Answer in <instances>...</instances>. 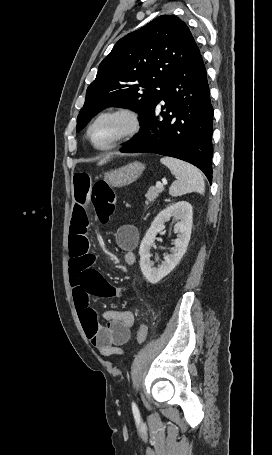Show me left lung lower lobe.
Listing matches in <instances>:
<instances>
[{
	"mask_svg": "<svg viewBox=\"0 0 272 455\" xmlns=\"http://www.w3.org/2000/svg\"><path fill=\"white\" fill-rule=\"evenodd\" d=\"M212 118L206 69L200 54L171 75L160 101L140 123V132L120 151L151 152L187 161L201 169L211 182Z\"/></svg>",
	"mask_w": 272,
	"mask_h": 455,
	"instance_id": "left-lung-lower-lobe-1",
	"label": "left lung lower lobe"
}]
</instances>
